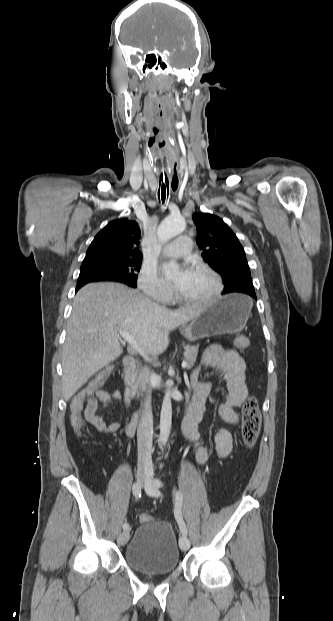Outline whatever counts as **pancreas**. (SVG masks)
Instances as JSON below:
<instances>
[{"mask_svg": "<svg viewBox=\"0 0 333 621\" xmlns=\"http://www.w3.org/2000/svg\"><path fill=\"white\" fill-rule=\"evenodd\" d=\"M184 350H185L184 352L185 360L187 361V368L190 369L194 366V363L196 362V357L198 354V345L197 346L186 345L184 346ZM131 378L134 383L133 390L143 391L146 388L148 370L144 368L142 370L134 372L131 375Z\"/></svg>", "mask_w": 333, "mask_h": 621, "instance_id": "obj_1", "label": "pancreas"}]
</instances>
